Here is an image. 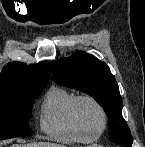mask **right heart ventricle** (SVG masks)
I'll use <instances>...</instances> for the list:
<instances>
[{"mask_svg":"<svg viewBox=\"0 0 145 147\" xmlns=\"http://www.w3.org/2000/svg\"><path fill=\"white\" fill-rule=\"evenodd\" d=\"M78 97L75 92L52 86L42 99L39 112L41 131L61 143L92 142L90 134L80 132L73 121V105Z\"/></svg>","mask_w":145,"mask_h":147,"instance_id":"obj_1","label":"right heart ventricle"}]
</instances>
